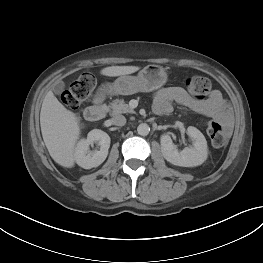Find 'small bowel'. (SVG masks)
<instances>
[{"instance_id": "small-bowel-1", "label": "small bowel", "mask_w": 263, "mask_h": 263, "mask_svg": "<svg viewBox=\"0 0 263 263\" xmlns=\"http://www.w3.org/2000/svg\"><path fill=\"white\" fill-rule=\"evenodd\" d=\"M185 106L207 117L229 122V107L222 94L213 90L207 98L192 97L182 87H165L155 92L153 107L158 114H167L173 110V104Z\"/></svg>"}]
</instances>
